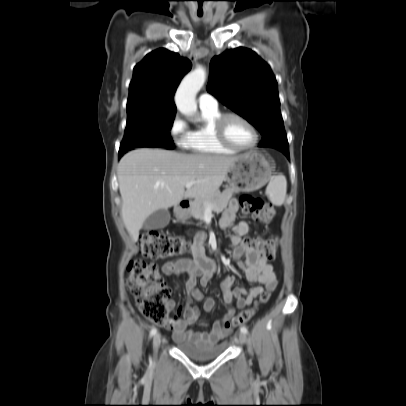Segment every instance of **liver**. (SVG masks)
<instances>
[{
    "label": "liver",
    "mask_w": 406,
    "mask_h": 406,
    "mask_svg": "<svg viewBox=\"0 0 406 406\" xmlns=\"http://www.w3.org/2000/svg\"><path fill=\"white\" fill-rule=\"evenodd\" d=\"M238 159L148 148L125 154L117 176L121 215L132 239H138L145 220L155 211L177 206L183 198L206 197L218 191ZM191 181L194 185L185 191Z\"/></svg>",
    "instance_id": "liver-1"
}]
</instances>
